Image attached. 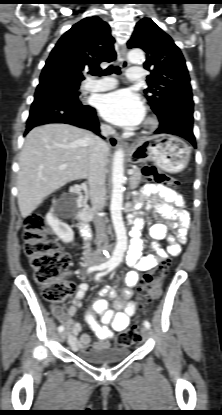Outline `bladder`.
Returning <instances> with one entry per match:
<instances>
[{"label":"bladder","instance_id":"1","mask_svg":"<svg viewBox=\"0 0 222 415\" xmlns=\"http://www.w3.org/2000/svg\"><path fill=\"white\" fill-rule=\"evenodd\" d=\"M131 354V350L125 347H114L102 350H80L76 353L78 359L94 364V365H106L114 364L123 361Z\"/></svg>","mask_w":222,"mask_h":415}]
</instances>
